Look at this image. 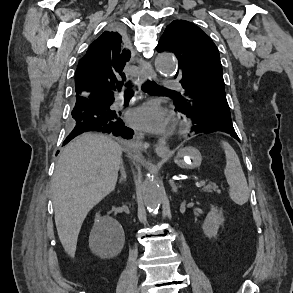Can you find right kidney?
<instances>
[{"label": "right kidney", "instance_id": "1", "mask_svg": "<svg viewBox=\"0 0 293 293\" xmlns=\"http://www.w3.org/2000/svg\"><path fill=\"white\" fill-rule=\"evenodd\" d=\"M107 222H114L117 226L118 232H115L111 226L103 224ZM95 225L105 235L101 241L102 246L105 247V249L112 250L115 255L118 254L125 241L124 232L118 222L112 218L102 219L99 214H96Z\"/></svg>", "mask_w": 293, "mask_h": 293}]
</instances>
